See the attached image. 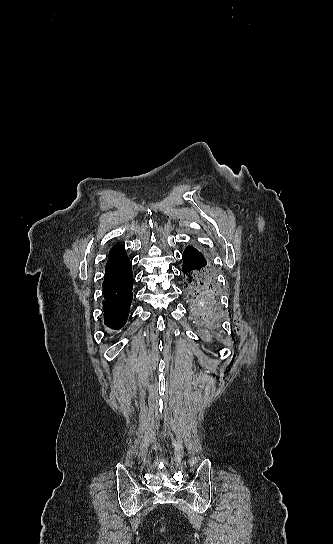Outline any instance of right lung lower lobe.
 I'll return each instance as SVG.
<instances>
[{
    "instance_id": "1",
    "label": "right lung lower lobe",
    "mask_w": 333,
    "mask_h": 544,
    "mask_svg": "<svg viewBox=\"0 0 333 544\" xmlns=\"http://www.w3.org/2000/svg\"><path fill=\"white\" fill-rule=\"evenodd\" d=\"M133 274L131 263L117 274L104 279L103 309L105 325L118 330L124 326L130 312L133 293Z\"/></svg>"
}]
</instances>
